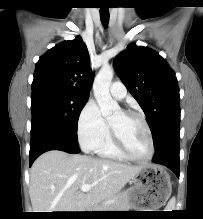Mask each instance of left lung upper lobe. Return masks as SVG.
<instances>
[{"mask_svg":"<svg viewBox=\"0 0 203 219\" xmlns=\"http://www.w3.org/2000/svg\"><path fill=\"white\" fill-rule=\"evenodd\" d=\"M115 68L143 109L158 149L180 130V95L175 73L158 53L135 44L116 56Z\"/></svg>","mask_w":203,"mask_h":219,"instance_id":"left-lung-upper-lobe-1","label":"left lung upper lobe"}]
</instances>
